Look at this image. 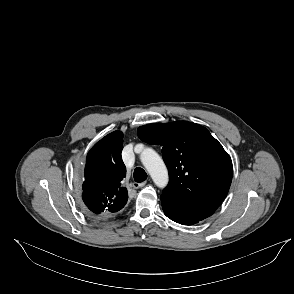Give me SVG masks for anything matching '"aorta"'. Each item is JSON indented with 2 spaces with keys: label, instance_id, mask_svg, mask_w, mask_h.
Returning <instances> with one entry per match:
<instances>
[{
  "label": "aorta",
  "instance_id": "762f6f07",
  "mask_svg": "<svg viewBox=\"0 0 294 294\" xmlns=\"http://www.w3.org/2000/svg\"><path fill=\"white\" fill-rule=\"evenodd\" d=\"M140 159L144 167L149 172L154 183L160 187L164 188L168 184V171L158 153L151 149L145 148L140 155Z\"/></svg>",
  "mask_w": 294,
  "mask_h": 294
}]
</instances>
